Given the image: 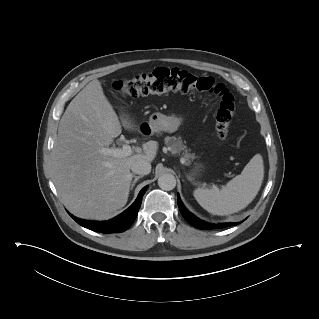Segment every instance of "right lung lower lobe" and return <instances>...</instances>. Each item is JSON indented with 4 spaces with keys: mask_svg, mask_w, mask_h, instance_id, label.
<instances>
[{
    "mask_svg": "<svg viewBox=\"0 0 319 319\" xmlns=\"http://www.w3.org/2000/svg\"><path fill=\"white\" fill-rule=\"evenodd\" d=\"M147 187L148 186H145L140 191L137 199L128 209H126L123 213H121L120 215H118L117 217L109 221H102V222L86 221V220L76 218L71 214L70 216L81 226L96 232H101V233L124 232L133 224L138 214V211L142 202V197Z\"/></svg>",
    "mask_w": 319,
    "mask_h": 319,
    "instance_id": "right-lung-lower-lobe-1",
    "label": "right lung lower lobe"
}]
</instances>
